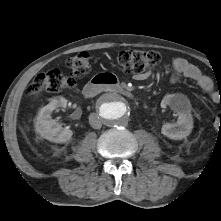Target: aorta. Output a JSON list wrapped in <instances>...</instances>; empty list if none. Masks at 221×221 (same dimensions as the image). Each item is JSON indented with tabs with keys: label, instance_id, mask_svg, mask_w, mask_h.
<instances>
[{
	"label": "aorta",
	"instance_id": "obj_1",
	"mask_svg": "<svg viewBox=\"0 0 221 221\" xmlns=\"http://www.w3.org/2000/svg\"><path fill=\"white\" fill-rule=\"evenodd\" d=\"M98 114L106 125L117 126L128 120L130 104L119 94H108L99 101Z\"/></svg>",
	"mask_w": 221,
	"mask_h": 221
}]
</instances>
